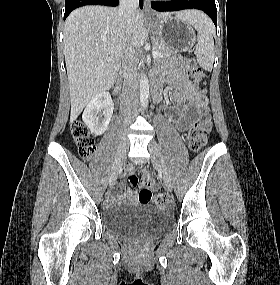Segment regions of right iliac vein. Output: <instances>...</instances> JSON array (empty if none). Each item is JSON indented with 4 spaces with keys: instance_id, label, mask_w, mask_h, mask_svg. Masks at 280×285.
<instances>
[{
    "instance_id": "1",
    "label": "right iliac vein",
    "mask_w": 280,
    "mask_h": 285,
    "mask_svg": "<svg viewBox=\"0 0 280 285\" xmlns=\"http://www.w3.org/2000/svg\"><path fill=\"white\" fill-rule=\"evenodd\" d=\"M128 148H129L128 140L126 138H122L119 144L118 152H117L114 165L112 168V172L110 175V185L111 186L114 185L117 180L119 171L125 161Z\"/></svg>"
}]
</instances>
